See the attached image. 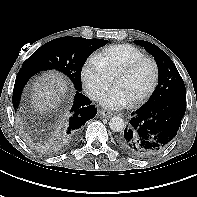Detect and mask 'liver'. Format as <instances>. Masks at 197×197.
<instances>
[{"instance_id":"liver-1","label":"liver","mask_w":197,"mask_h":197,"mask_svg":"<svg viewBox=\"0 0 197 197\" xmlns=\"http://www.w3.org/2000/svg\"><path fill=\"white\" fill-rule=\"evenodd\" d=\"M67 91V82L58 72H48L32 84V105L40 112L55 109Z\"/></svg>"}]
</instances>
